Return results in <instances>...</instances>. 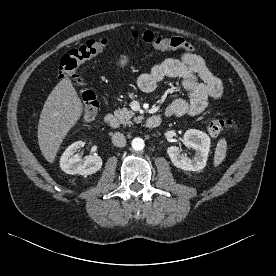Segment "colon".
<instances>
[{
	"mask_svg": "<svg viewBox=\"0 0 276 276\" xmlns=\"http://www.w3.org/2000/svg\"><path fill=\"white\" fill-rule=\"evenodd\" d=\"M131 38L142 42L160 51H184L193 52L195 49L188 41L179 36H161L152 31H133ZM111 45L106 38L91 39L80 47L71 49L62 56L59 62V74L61 77H69L78 89L81 102V116L84 120H91L97 113L98 101L95 93L89 89L84 80L78 75L77 70L81 63L88 61L104 53ZM207 132L218 137L238 129L234 121L220 118H211L204 123Z\"/></svg>",
	"mask_w": 276,
	"mask_h": 276,
	"instance_id": "5ec220e1",
	"label": "colon"
}]
</instances>
